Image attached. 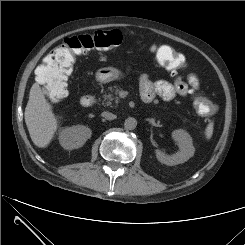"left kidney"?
I'll use <instances>...</instances> for the list:
<instances>
[{
	"label": "left kidney",
	"mask_w": 245,
	"mask_h": 245,
	"mask_svg": "<svg viewBox=\"0 0 245 245\" xmlns=\"http://www.w3.org/2000/svg\"><path fill=\"white\" fill-rule=\"evenodd\" d=\"M172 138L178 143L180 151L173 155H166L161 150H156V158L163 164L173 166L181 164L189 160L195 152V148L192 143V138L183 129L174 130L172 132Z\"/></svg>",
	"instance_id": "1"
}]
</instances>
